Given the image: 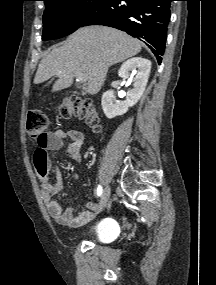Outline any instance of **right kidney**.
Masks as SVG:
<instances>
[{"label":"right kidney","instance_id":"ca27d5eb","mask_svg":"<svg viewBox=\"0 0 216 285\" xmlns=\"http://www.w3.org/2000/svg\"><path fill=\"white\" fill-rule=\"evenodd\" d=\"M150 70L151 61L142 57L128 59L121 65L118 71L119 77L128 79L133 88L127 92L125 101L115 100L113 90L103 94L102 108L107 118L112 119L125 114L129 107L138 102L145 91Z\"/></svg>","mask_w":216,"mask_h":285}]
</instances>
